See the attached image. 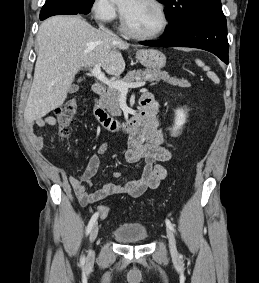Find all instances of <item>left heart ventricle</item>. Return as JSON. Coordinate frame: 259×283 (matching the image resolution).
I'll return each instance as SVG.
<instances>
[{
    "mask_svg": "<svg viewBox=\"0 0 259 283\" xmlns=\"http://www.w3.org/2000/svg\"><path fill=\"white\" fill-rule=\"evenodd\" d=\"M120 7L131 29L138 33L152 34L162 27L160 10L148 0H122Z\"/></svg>",
    "mask_w": 259,
    "mask_h": 283,
    "instance_id": "1",
    "label": "left heart ventricle"
}]
</instances>
